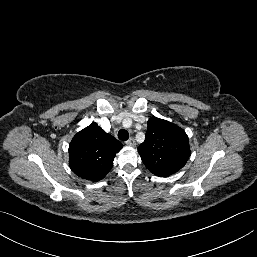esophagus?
Listing matches in <instances>:
<instances>
[{"label":"esophagus","mask_w":257,"mask_h":257,"mask_svg":"<svg viewBox=\"0 0 257 257\" xmlns=\"http://www.w3.org/2000/svg\"><path fill=\"white\" fill-rule=\"evenodd\" d=\"M125 143H126V145L132 146V147H134L136 145V142H135L134 138H130Z\"/></svg>","instance_id":"esophagus-1"}]
</instances>
